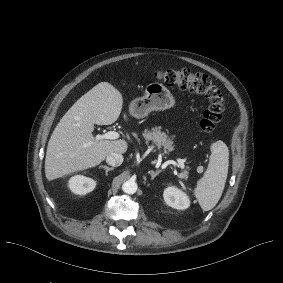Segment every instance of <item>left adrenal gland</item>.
<instances>
[{"label":"left adrenal gland","instance_id":"obj_1","mask_svg":"<svg viewBox=\"0 0 283 283\" xmlns=\"http://www.w3.org/2000/svg\"><path fill=\"white\" fill-rule=\"evenodd\" d=\"M161 172H162V170H157V171L151 170L148 173L151 175V179L153 180Z\"/></svg>","mask_w":283,"mask_h":283}]
</instances>
